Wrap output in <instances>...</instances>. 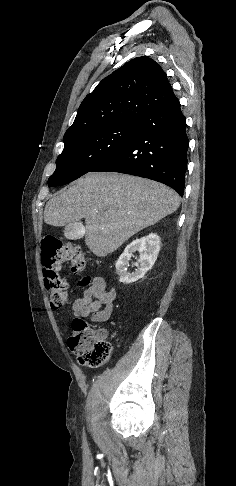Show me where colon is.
<instances>
[{"label":"colon","mask_w":236,"mask_h":486,"mask_svg":"<svg viewBox=\"0 0 236 486\" xmlns=\"http://www.w3.org/2000/svg\"><path fill=\"white\" fill-rule=\"evenodd\" d=\"M42 266L45 288L49 293L53 309L62 308L67 301V283L59 272L65 262H69L74 274H82L86 269V258L79 246L65 245L53 237L44 240L42 244ZM88 276H83L80 286H87ZM70 349L76 354L81 364L90 367H100L111 355L109 342L100 334L89 328L82 317H75L71 324V335L68 339Z\"/></svg>","instance_id":"1"}]
</instances>
